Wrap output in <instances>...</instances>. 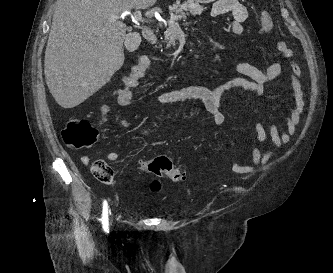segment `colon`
I'll list each match as a JSON object with an SVG mask.
<instances>
[{
  "label": "colon",
  "mask_w": 333,
  "mask_h": 273,
  "mask_svg": "<svg viewBox=\"0 0 333 273\" xmlns=\"http://www.w3.org/2000/svg\"><path fill=\"white\" fill-rule=\"evenodd\" d=\"M274 27L272 16L263 11L260 15L259 31L263 35L272 33ZM97 130L84 119H71L62 130V139L65 144L73 149H82L91 146L97 139ZM140 171L151 172L157 175L165 174L174 182H183L186 179L184 172L178 169L166 156H157L153 159H141L137 164ZM93 175L103 183L113 182V169L104 161L96 160L91 165ZM151 190L160 189L159 181L155 180L150 185Z\"/></svg>",
  "instance_id": "colon-1"
}]
</instances>
